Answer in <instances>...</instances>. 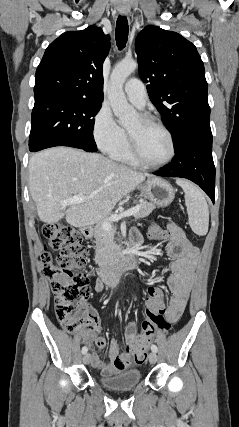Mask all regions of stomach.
Here are the masks:
<instances>
[{"mask_svg": "<svg viewBox=\"0 0 239 427\" xmlns=\"http://www.w3.org/2000/svg\"><path fill=\"white\" fill-rule=\"evenodd\" d=\"M140 191L158 207L170 205L175 198L173 187L164 179L150 178L139 186Z\"/></svg>", "mask_w": 239, "mask_h": 427, "instance_id": "stomach-1", "label": "stomach"}]
</instances>
